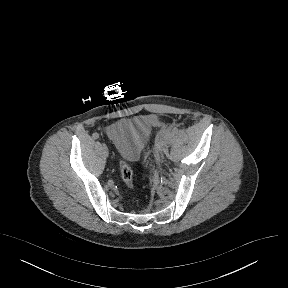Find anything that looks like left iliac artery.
Wrapping results in <instances>:
<instances>
[{
	"label": "left iliac artery",
	"mask_w": 288,
	"mask_h": 288,
	"mask_svg": "<svg viewBox=\"0 0 288 288\" xmlns=\"http://www.w3.org/2000/svg\"><path fill=\"white\" fill-rule=\"evenodd\" d=\"M171 135H172V134H171V133H169V134H167V136H166V137H167V138H169V137H171Z\"/></svg>",
	"instance_id": "44dca946"
}]
</instances>
